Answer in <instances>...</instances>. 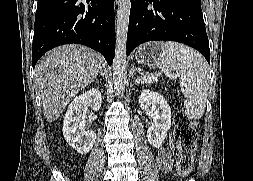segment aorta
Segmentation results:
<instances>
[{
  "label": "aorta",
  "mask_w": 253,
  "mask_h": 181,
  "mask_svg": "<svg viewBox=\"0 0 253 181\" xmlns=\"http://www.w3.org/2000/svg\"><path fill=\"white\" fill-rule=\"evenodd\" d=\"M116 18V48L113 61V81L116 91L119 93L125 79L127 70V33L131 0H117Z\"/></svg>",
  "instance_id": "aorta-1"
}]
</instances>
